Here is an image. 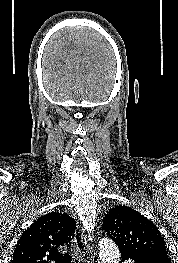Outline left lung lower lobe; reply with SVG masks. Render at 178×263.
<instances>
[{
  "mask_svg": "<svg viewBox=\"0 0 178 263\" xmlns=\"http://www.w3.org/2000/svg\"><path fill=\"white\" fill-rule=\"evenodd\" d=\"M122 261L131 259L134 263H171L169 258L157 257V256H148V255H139L131 256L126 252H121Z\"/></svg>",
  "mask_w": 178,
  "mask_h": 263,
  "instance_id": "1",
  "label": "left lung lower lobe"
}]
</instances>
